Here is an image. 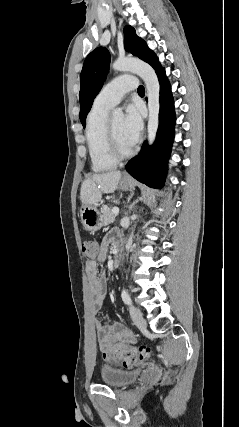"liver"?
Wrapping results in <instances>:
<instances>
[{
    "label": "liver",
    "instance_id": "obj_1",
    "mask_svg": "<svg viewBox=\"0 0 239 427\" xmlns=\"http://www.w3.org/2000/svg\"><path fill=\"white\" fill-rule=\"evenodd\" d=\"M121 178L120 171L94 174L81 185L80 200L83 205H97L103 193H113Z\"/></svg>",
    "mask_w": 239,
    "mask_h": 427
}]
</instances>
